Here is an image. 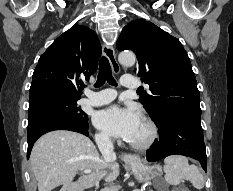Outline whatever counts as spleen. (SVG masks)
<instances>
[{
    "label": "spleen",
    "mask_w": 233,
    "mask_h": 191,
    "mask_svg": "<svg viewBox=\"0 0 233 191\" xmlns=\"http://www.w3.org/2000/svg\"><path fill=\"white\" fill-rule=\"evenodd\" d=\"M165 181L177 186L183 180H189L197 189L204 187V178L199 169L195 165H189L188 160L184 156L173 155L164 160Z\"/></svg>",
    "instance_id": "spleen-1"
}]
</instances>
